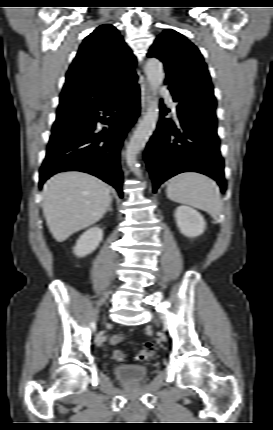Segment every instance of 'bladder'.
I'll list each match as a JSON object with an SVG mask.
<instances>
[{"label": "bladder", "mask_w": 273, "mask_h": 430, "mask_svg": "<svg viewBox=\"0 0 273 430\" xmlns=\"http://www.w3.org/2000/svg\"><path fill=\"white\" fill-rule=\"evenodd\" d=\"M114 375L125 383H136L148 374V368L137 364H122L114 367Z\"/></svg>", "instance_id": "31cf9c89"}]
</instances>
